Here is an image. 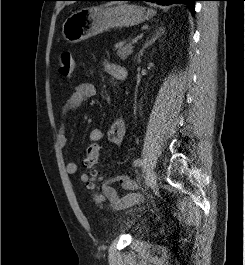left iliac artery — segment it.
I'll list each match as a JSON object with an SVG mask.
<instances>
[{
  "label": "left iliac artery",
  "mask_w": 245,
  "mask_h": 265,
  "mask_svg": "<svg viewBox=\"0 0 245 265\" xmlns=\"http://www.w3.org/2000/svg\"><path fill=\"white\" fill-rule=\"evenodd\" d=\"M133 165H134V166H140V165H142V160H141V159H136V160L133 162Z\"/></svg>",
  "instance_id": "44dca946"
}]
</instances>
